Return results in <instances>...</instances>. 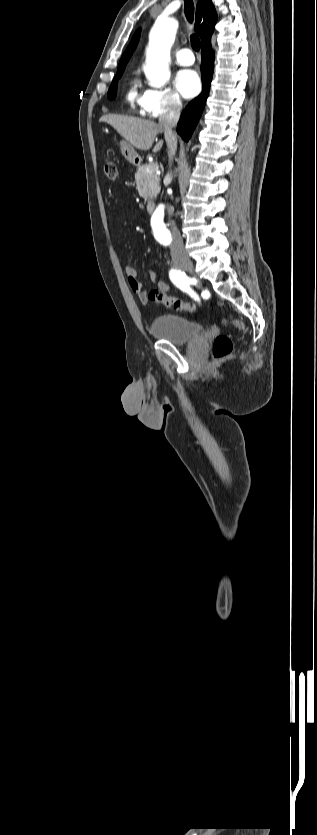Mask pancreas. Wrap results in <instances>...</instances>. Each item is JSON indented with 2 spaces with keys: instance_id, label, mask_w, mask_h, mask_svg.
I'll list each match as a JSON object with an SVG mask.
<instances>
[{
  "instance_id": "pancreas-1",
  "label": "pancreas",
  "mask_w": 317,
  "mask_h": 835,
  "mask_svg": "<svg viewBox=\"0 0 317 835\" xmlns=\"http://www.w3.org/2000/svg\"><path fill=\"white\" fill-rule=\"evenodd\" d=\"M151 164L141 165L135 173V181L139 195L145 200L154 199L160 192V178L154 171L147 172Z\"/></svg>"
}]
</instances>
